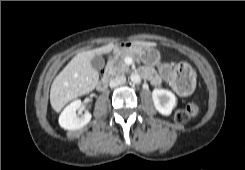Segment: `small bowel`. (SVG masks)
<instances>
[{
    "instance_id": "1",
    "label": "small bowel",
    "mask_w": 245,
    "mask_h": 170,
    "mask_svg": "<svg viewBox=\"0 0 245 170\" xmlns=\"http://www.w3.org/2000/svg\"><path fill=\"white\" fill-rule=\"evenodd\" d=\"M143 76L148 78L153 85H159L162 80L170 82L173 76V67L170 64H163L157 71L149 68L141 70Z\"/></svg>"
}]
</instances>
